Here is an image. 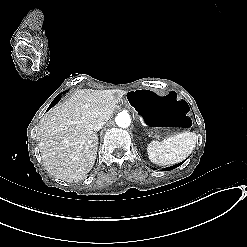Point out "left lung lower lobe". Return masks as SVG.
Masks as SVG:
<instances>
[{"instance_id": "obj_1", "label": "left lung lower lobe", "mask_w": 247, "mask_h": 247, "mask_svg": "<svg viewBox=\"0 0 247 247\" xmlns=\"http://www.w3.org/2000/svg\"><path fill=\"white\" fill-rule=\"evenodd\" d=\"M186 160H184L183 162L179 163V164H176L174 166H171V167H168L166 168L164 171H168V170H173L175 169L176 167L180 166L182 163H184Z\"/></svg>"}]
</instances>
